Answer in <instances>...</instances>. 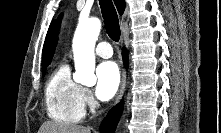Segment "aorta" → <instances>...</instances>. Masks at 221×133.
I'll use <instances>...</instances> for the list:
<instances>
[{"label":"aorta","instance_id":"aorta-1","mask_svg":"<svg viewBox=\"0 0 221 133\" xmlns=\"http://www.w3.org/2000/svg\"><path fill=\"white\" fill-rule=\"evenodd\" d=\"M101 30V21L90 18L80 21L73 38V55L75 74L73 79L77 83L92 86L96 83L94 48Z\"/></svg>","mask_w":221,"mask_h":133}]
</instances>
